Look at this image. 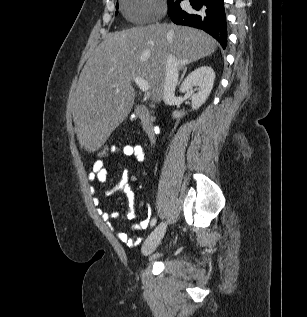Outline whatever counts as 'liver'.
Segmentation results:
<instances>
[{"label": "liver", "instance_id": "obj_1", "mask_svg": "<svg viewBox=\"0 0 307 317\" xmlns=\"http://www.w3.org/2000/svg\"><path fill=\"white\" fill-rule=\"evenodd\" d=\"M217 45L201 30L173 24L137 26L106 35L82 69L72 102L81 148L97 150L130 113L133 78L147 80L151 99L159 102L169 54L182 69L213 54Z\"/></svg>", "mask_w": 307, "mask_h": 317}]
</instances>
